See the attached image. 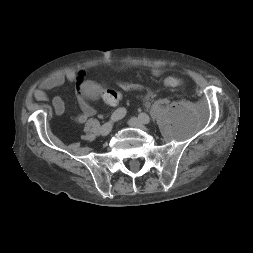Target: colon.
Wrapping results in <instances>:
<instances>
[{"instance_id":"1","label":"colon","mask_w":253,"mask_h":253,"mask_svg":"<svg viewBox=\"0 0 253 253\" xmlns=\"http://www.w3.org/2000/svg\"><path fill=\"white\" fill-rule=\"evenodd\" d=\"M115 84L118 88L122 90H126V91H143L144 90V87L141 85L129 83L122 80H117ZM165 84L169 87H179L183 84V80L176 75H171L165 79ZM102 98L107 104L116 105L120 102L121 95L118 92L113 91L112 89L105 88L102 91Z\"/></svg>"}]
</instances>
